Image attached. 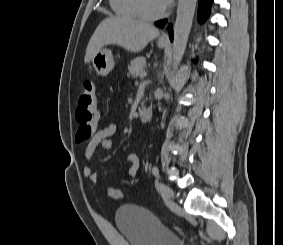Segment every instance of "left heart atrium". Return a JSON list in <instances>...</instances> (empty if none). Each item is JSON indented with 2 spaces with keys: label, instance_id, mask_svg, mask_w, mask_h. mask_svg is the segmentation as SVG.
I'll return each mask as SVG.
<instances>
[{
  "label": "left heart atrium",
  "instance_id": "left-heart-atrium-1",
  "mask_svg": "<svg viewBox=\"0 0 283 245\" xmlns=\"http://www.w3.org/2000/svg\"><path fill=\"white\" fill-rule=\"evenodd\" d=\"M161 1L165 6H167L171 2V0H161Z\"/></svg>",
  "mask_w": 283,
  "mask_h": 245
}]
</instances>
